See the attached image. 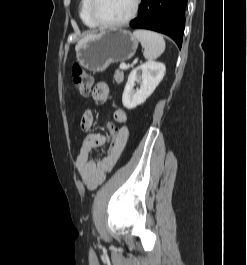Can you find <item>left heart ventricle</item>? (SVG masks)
<instances>
[{"label":"left heart ventricle","mask_w":247,"mask_h":265,"mask_svg":"<svg viewBox=\"0 0 247 265\" xmlns=\"http://www.w3.org/2000/svg\"><path fill=\"white\" fill-rule=\"evenodd\" d=\"M134 0H97L96 13L107 23L126 18L132 11Z\"/></svg>","instance_id":"obj_1"}]
</instances>
